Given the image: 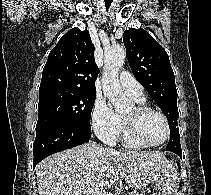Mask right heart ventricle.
Listing matches in <instances>:
<instances>
[{"mask_svg": "<svg viewBox=\"0 0 211 195\" xmlns=\"http://www.w3.org/2000/svg\"><path fill=\"white\" fill-rule=\"evenodd\" d=\"M137 101V100H136ZM145 99L137 101L139 104H144ZM120 139L122 143L129 148H140L141 146L135 143L126 133L125 130V125L122 120V127H121V132H120Z\"/></svg>", "mask_w": 211, "mask_h": 195, "instance_id": "1", "label": "right heart ventricle"}]
</instances>
